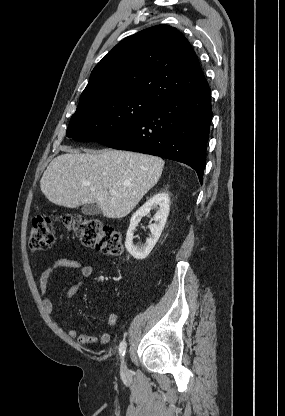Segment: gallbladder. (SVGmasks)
Returning a JSON list of instances; mask_svg holds the SVG:
<instances>
[{
  "mask_svg": "<svg viewBox=\"0 0 285 416\" xmlns=\"http://www.w3.org/2000/svg\"><path fill=\"white\" fill-rule=\"evenodd\" d=\"M81 212L82 214H86V216H99L101 214V208L97 204H84Z\"/></svg>",
  "mask_w": 285,
  "mask_h": 416,
  "instance_id": "bac80fb5",
  "label": "gallbladder"
}]
</instances>
